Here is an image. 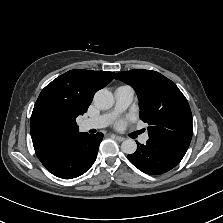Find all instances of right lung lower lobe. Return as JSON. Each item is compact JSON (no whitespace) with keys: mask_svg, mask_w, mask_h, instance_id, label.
I'll return each instance as SVG.
<instances>
[{"mask_svg":"<svg viewBox=\"0 0 223 223\" xmlns=\"http://www.w3.org/2000/svg\"><path fill=\"white\" fill-rule=\"evenodd\" d=\"M102 138V133H80L65 148L42 164L57 177L76 178L84 174L95 162Z\"/></svg>","mask_w":223,"mask_h":223,"instance_id":"right-lung-lower-lobe-1","label":"right lung lower lobe"}]
</instances>
